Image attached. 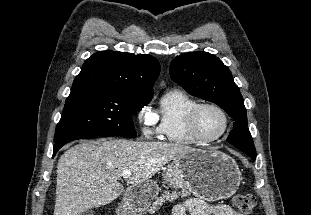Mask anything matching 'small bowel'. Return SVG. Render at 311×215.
<instances>
[{"mask_svg":"<svg viewBox=\"0 0 311 215\" xmlns=\"http://www.w3.org/2000/svg\"><path fill=\"white\" fill-rule=\"evenodd\" d=\"M241 215L229 205H210L198 198H191L174 206L172 215Z\"/></svg>","mask_w":311,"mask_h":215,"instance_id":"small-bowel-1","label":"small bowel"}]
</instances>
